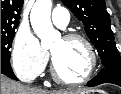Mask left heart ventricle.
I'll use <instances>...</instances> for the list:
<instances>
[{
	"mask_svg": "<svg viewBox=\"0 0 121 94\" xmlns=\"http://www.w3.org/2000/svg\"><path fill=\"white\" fill-rule=\"evenodd\" d=\"M59 74L67 80L82 78L89 66V56L81 41L58 39L51 47Z\"/></svg>",
	"mask_w": 121,
	"mask_h": 94,
	"instance_id": "1",
	"label": "left heart ventricle"
}]
</instances>
